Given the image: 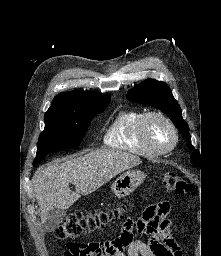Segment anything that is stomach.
Instances as JSON below:
<instances>
[{
	"mask_svg": "<svg viewBox=\"0 0 221 256\" xmlns=\"http://www.w3.org/2000/svg\"><path fill=\"white\" fill-rule=\"evenodd\" d=\"M146 178V174L141 171H127L120 175L112 184L113 193L119 197H126L139 187Z\"/></svg>",
	"mask_w": 221,
	"mask_h": 256,
	"instance_id": "1",
	"label": "stomach"
}]
</instances>
